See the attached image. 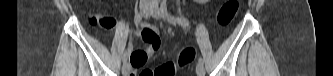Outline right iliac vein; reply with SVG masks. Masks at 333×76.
<instances>
[{
  "label": "right iliac vein",
  "instance_id": "obj_1",
  "mask_svg": "<svg viewBox=\"0 0 333 76\" xmlns=\"http://www.w3.org/2000/svg\"><path fill=\"white\" fill-rule=\"evenodd\" d=\"M140 10H141L142 15L145 18H147L152 10V5H150V4L141 5ZM129 69H130V65L128 63H125L122 67V73L124 76H127V74L129 73Z\"/></svg>",
  "mask_w": 333,
  "mask_h": 76
}]
</instances>
